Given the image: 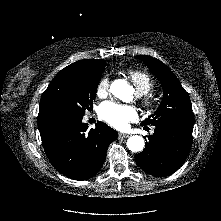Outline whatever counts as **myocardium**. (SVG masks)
Here are the masks:
<instances>
[{
	"label": "myocardium",
	"instance_id": "f54148a6",
	"mask_svg": "<svg viewBox=\"0 0 221 221\" xmlns=\"http://www.w3.org/2000/svg\"><path fill=\"white\" fill-rule=\"evenodd\" d=\"M139 98L141 100L142 105L148 109L155 108L159 101L158 96L150 91L144 94H139Z\"/></svg>",
	"mask_w": 221,
	"mask_h": 221
}]
</instances>
